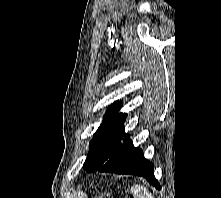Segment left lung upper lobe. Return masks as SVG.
<instances>
[{
	"instance_id": "obj_1",
	"label": "left lung upper lobe",
	"mask_w": 221,
	"mask_h": 198,
	"mask_svg": "<svg viewBox=\"0 0 221 198\" xmlns=\"http://www.w3.org/2000/svg\"><path fill=\"white\" fill-rule=\"evenodd\" d=\"M121 103L115 102L109 107L104 121L93 135L90 142V151L83 168L86 171L99 170L106 161L116 152L123 143L129 139V134L124 131L126 114H119Z\"/></svg>"
}]
</instances>
